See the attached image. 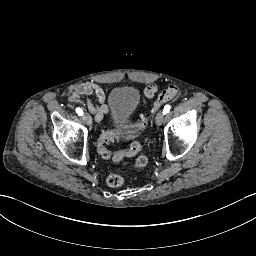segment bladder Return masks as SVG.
Wrapping results in <instances>:
<instances>
[{
    "label": "bladder",
    "mask_w": 256,
    "mask_h": 256,
    "mask_svg": "<svg viewBox=\"0 0 256 256\" xmlns=\"http://www.w3.org/2000/svg\"><path fill=\"white\" fill-rule=\"evenodd\" d=\"M109 103L111 106L109 112L111 122L125 121L138 110L140 103L139 91L133 87L116 89L111 94Z\"/></svg>",
    "instance_id": "obj_1"
}]
</instances>
